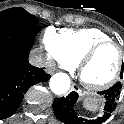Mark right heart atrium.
Returning a JSON list of instances; mask_svg holds the SVG:
<instances>
[{
	"label": "right heart atrium",
	"mask_w": 124,
	"mask_h": 124,
	"mask_svg": "<svg viewBox=\"0 0 124 124\" xmlns=\"http://www.w3.org/2000/svg\"><path fill=\"white\" fill-rule=\"evenodd\" d=\"M41 44L49 60H55L63 67L70 69L72 65L63 54L59 34L53 28H47L41 37Z\"/></svg>",
	"instance_id": "d8ad5b80"
}]
</instances>
